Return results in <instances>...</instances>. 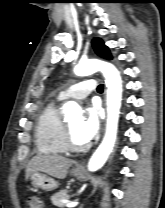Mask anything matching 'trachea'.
<instances>
[{
    "instance_id": "trachea-1",
    "label": "trachea",
    "mask_w": 165,
    "mask_h": 208,
    "mask_svg": "<svg viewBox=\"0 0 165 208\" xmlns=\"http://www.w3.org/2000/svg\"><path fill=\"white\" fill-rule=\"evenodd\" d=\"M97 91L98 92H102L103 91V85L100 84L98 87H97Z\"/></svg>"
}]
</instances>
